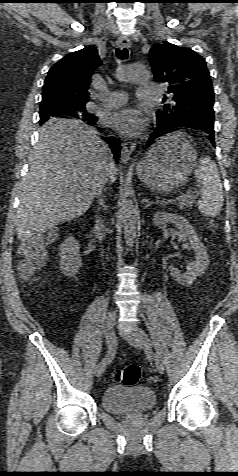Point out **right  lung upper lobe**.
<instances>
[{"mask_svg":"<svg viewBox=\"0 0 238 476\" xmlns=\"http://www.w3.org/2000/svg\"><path fill=\"white\" fill-rule=\"evenodd\" d=\"M100 65L97 49L93 46L69 53L49 70L43 86L42 102L85 105L90 95L91 76Z\"/></svg>","mask_w":238,"mask_h":476,"instance_id":"cb5924a9","label":"right lung upper lobe"}]
</instances>
